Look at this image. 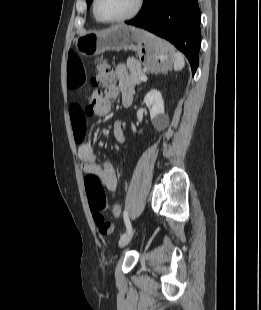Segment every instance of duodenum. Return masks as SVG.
Here are the masks:
<instances>
[{"label": "duodenum", "mask_w": 261, "mask_h": 310, "mask_svg": "<svg viewBox=\"0 0 261 310\" xmlns=\"http://www.w3.org/2000/svg\"><path fill=\"white\" fill-rule=\"evenodd\" d=\"M130 103H131V100H129V99H126V100L124 101V105H126V106L130 105Z\"/></svg>", "instance_id": "1"}]
</instances>
